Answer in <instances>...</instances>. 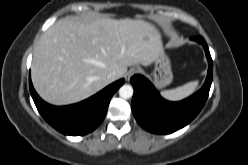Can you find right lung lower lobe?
<instances>
[{
	"mask_svg": "<svg viewBox=\"0 0 248 165\" xmlns=\"http://www.w3.org/2000/svg\"><path fill=\"white\" fill-rule=\"evenodd\" d=\"M124 83V79L107 86L96 95L80 103L56 107L43 101L35 92L31 79L29 88L41 116L56 130L65 135H85L96 129L104 120L111 97Z\"/></svg>",
	"mask_w": 248,
	"mask_h": 165,
	"instance_id": "98d812e1",
	"label": "right lung lower lobe"
}]
</instances>
